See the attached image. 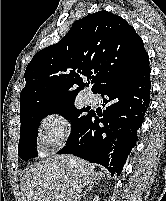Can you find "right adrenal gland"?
Instances as JSON below:
<instances>
[{"label": "right adrenal gland", "instance_id": "2a0ac1e0", "mask_svg": "<svg viewBox=\"0 0 166 201\" xmlns=\"http://www.w3.org/2000/svg\"><path fill=\"white\" fill-rule=\"evenodd\" d=\"M102 175L101 174H96V179L88 186V188L84 192V198H86V195L93 189L95 184H98L100 182Z\"/></svg>", "mask_w": 166, "mask_h": 201}]
</instances>
